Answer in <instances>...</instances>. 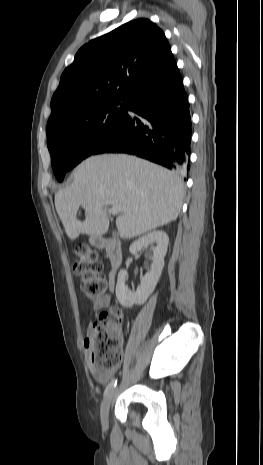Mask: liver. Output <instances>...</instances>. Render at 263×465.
<instances>
[{
  "instance_id": "6515ba94",
  "label": "liver",
  "mask_w": 263,
  "mask_h": 465,
  "mask_svg": "<svg viewBox=\"0 0 263 465\" xmlns=\"http://www.w3.org/2000/svg\"><path fill=\"white\" fill-rule=\"evenodd\" d=\"M72 183L55 195L67 236H102L108 231L105 208L121 205L116 219L121 238L131 239L175 221L185 195L183 180L159 165L125 154L91 156L72 173ZM85 220L77 219L79 207Z\"/></svg>"
}]
</instances>
